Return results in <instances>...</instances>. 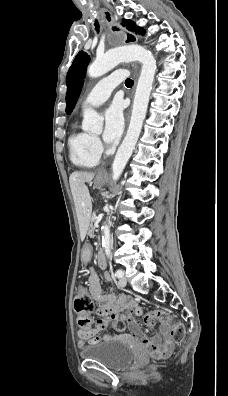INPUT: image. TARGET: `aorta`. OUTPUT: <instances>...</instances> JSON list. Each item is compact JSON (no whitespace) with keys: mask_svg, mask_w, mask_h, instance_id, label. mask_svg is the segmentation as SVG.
I'll return each mask as SVG.
<instances>
[{"mask_svg":"<svg viewBox=\"0 0 228 396\" xmlns=\"http://www.w3.org/2000/svg\"><path fill=\"white\" fill-rule=\"evenodd\" d=\"M130 61L140 62L142 69L136 87L129 127L112 164L114 181H117L121 176L140 136L156 73V61L149 50L141 46L130 45L109 50L103 56L96 58L87 69L88 75L96 78L104 75L119 63ZM102 127L103 118L95 110L86 109L83 113L82 129L88 132H101ZM102 230V246L105 251H108L111 242L109 226L104 224Z\"/></svg>","mask_w":228,"mask_h":396,"instance_id":"obj_1","label":"aorta"}]
</instances>
